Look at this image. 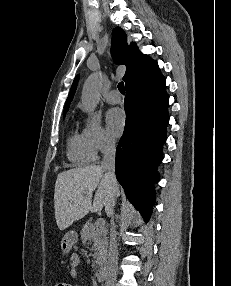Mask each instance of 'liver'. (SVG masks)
Instances as JSON below:
<instances>
[{
  "mask_svg": "<svg viewBox=\"0 0 231 286\" xmlns=\"http://www.w3.org/2000/svg\"><path fill=\"white\" fill-rule=\"evenodd\" d=\"M97 188L93 203L92 195ZM120 195L118 184L111 186L101 166L90 165L74 168L58 174L54 191V209L57 226L65 230L90 211L98 212L107 207L110 200Z\"/></svg>",
  "mask_w": 231,
  "mask_h": 286,
  "instance_id": "6515ba94",
  "label": "liver"
}]
</instances>
